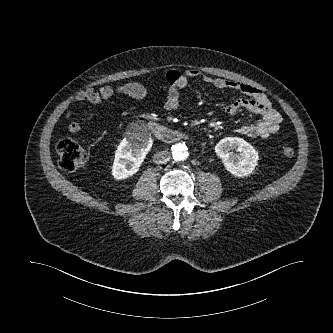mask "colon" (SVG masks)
Wrapping results in <instances>:
<instances>
[{"label":"colon","mask_w":333,"mask_h":333,"mask_svg":"<svg viewBox=\"0 0 333 333\" xmlns=\"http://www.w3.org/2000/svg\"><path fill=\"white\" fill-rule=\"evenodd\" d=\"M58 154V166L66 173L73 172L85 165L87 153L85 149L71 138L61 139L56 145ZM282 154L286 158L294 156V149L291 146H284Z\"/></svg>","instance_id":"5ec220e1"}]
</instances>
